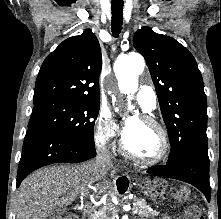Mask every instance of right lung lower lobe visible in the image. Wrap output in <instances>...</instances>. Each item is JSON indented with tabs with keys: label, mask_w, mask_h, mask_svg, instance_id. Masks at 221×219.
<instances>
[{
	"label": "right lung lower lobe",
	"mask_w": 221,
	"mask_h": 219,
	"mask_svg": "<svg viewBox=\"0 0 221 219\" xmlns=\"http://www.w3.org/2000/svg\"><path fill=\"white\" fill-rule=\"evenodd\" d=\"M96 156L95 147L57 132L33 126L26 133L18 167L17 187L32 171L53 163H79Z\"/></svg>",
	"instance_id": "1"
}]
</instances>
